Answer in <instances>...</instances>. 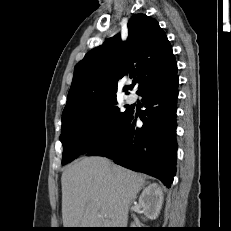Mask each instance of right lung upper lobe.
Listing matches in <instances>:
<instances>
[{"instance_id": "1", "label": "right lung upper lobe", "mask_w": 231, "mask_h": 231, "mask_svg": "<svg viewBox=\"0 0 231 231\" xmlns=\"http://www.w3.org/2000/svg\"><path fill=\"white\" fill-rule=\"evenodd\" d=\"M128 73L137 76V93L151 83L177 74V63L165 32L145 14L131 17L126 41H121L119 35L109 38L77 63L62 115L115 100L118 80ZM132 88L133 85H126L123 90Z\"/></svg>"}]
</instances>
